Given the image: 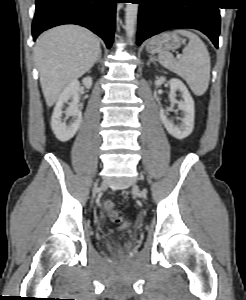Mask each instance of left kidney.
I'll list each match as a JSON object with an SVG mask.
<instances>
[{
    "label": "left kidney",
    "instance_id": "1",
    "mask_svg": "<svg viewBox=\"0 0 246 300\" xmlns=\"http://www.w3.org/2000/svg\"><path fill=\"white\" fill-rule=\"evenodd\" d=\"M165 81V77H159L155 80V85L159 87ZM169 84L171 89V92L169 94L171 105L177 103L179 109L183 111L184 117L182 119V123L179 126L175 125L173 121L167 118L166 112L160 108V119L169 134H171L176 139L182 140L188 137L192 133L194 128V100L191 97L187 87L181 80L172 78L170 79ZM177 90L181 92L183 101L176 100L175 92Z\"/></svg>",
    "mask_w": 246,
    "mask_h": 300
}]
</instances>
